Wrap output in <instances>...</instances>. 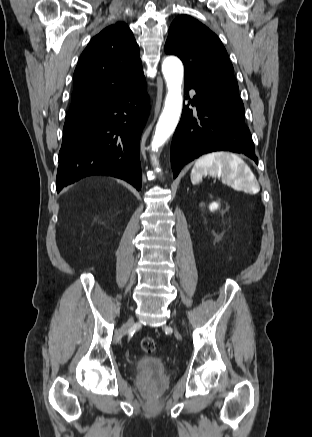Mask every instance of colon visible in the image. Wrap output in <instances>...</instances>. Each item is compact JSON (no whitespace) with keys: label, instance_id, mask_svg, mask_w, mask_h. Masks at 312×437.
<instances>
[{"label":"colon","instance_id":"1","mask_svg":"<svg viewBox=\"0 0 312 437\" xmlns=\"http://www.w3.org/2000/svg\"><path fill=\"white\" fill-rule=\"evenodd\" d=\"M141 348L146 353H153L156 350V342L151 337H144L140 342Z\"/></svg>","mask_w":312,"mask_h":437}]
</instances>
